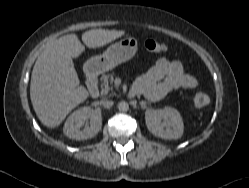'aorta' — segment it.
<instances>
[{"instance_id":"obj_1","label":"aorta","mask_w":249,"mask_h":188,"mask_svg":"<svg viewBox=\"0 0 249 188\" xmlns=\"http://www.w3.org/2000/svg\"><path fill=\"white\" fill-rule=\"evenodd\" d=\"M118 109L121 112H126L129 109V104L125 101H121L118 103Z\"/></svg>"}]
</instances>
